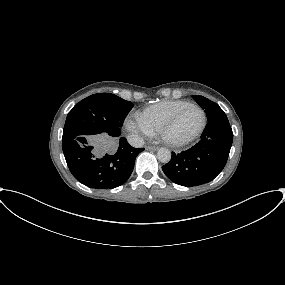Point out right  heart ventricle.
<instances>
[{
  "mask_svg": "<svg viewBox=\"0 0 285 285\" xmlns=\"http://www.w3.org/2000/svg\"><path fill=\"white\" fill-rule=\"evenodd\" d=\"M190 104L183 100H165L146 108L137 116L153 131L159 132L177 111Z\"/></svg>",
  "mask_w": 285,
  "mask_h": 285,
  "instance_id": "obj_1",
  "label": "right heart ventricle"
}]
</instances>
